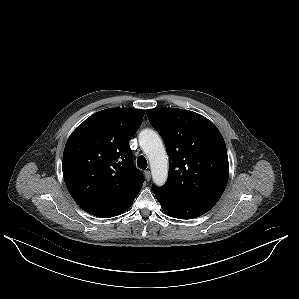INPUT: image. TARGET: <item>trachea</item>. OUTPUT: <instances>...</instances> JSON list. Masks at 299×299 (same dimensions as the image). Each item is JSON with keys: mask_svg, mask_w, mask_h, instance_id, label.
I'll use <instances>...</instances> for the list:
<instances>
[{"mask_svg": "<svg viewBox=\"0 0 299 299\" xmlns=\"http://www.w3.org/2000/svg\"><path fill=\"white\" fill-rule=\"evenodd\" d=\"M147 160L144 156H139L138 159H137V166L140 168V169H146L147 168Z\"/></svg>", "mask_w": 299, "mask_h": 299, "instance_id": "1", "label": "trachea"}]
</instances>
